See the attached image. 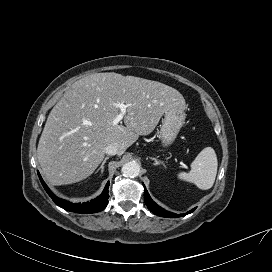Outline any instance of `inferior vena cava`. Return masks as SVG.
<instances>
[{
    "label": "inferior vena cava",
    "instance_id": "1",
    "mask_svg": "<svg viewBox=\"0 0 272 272\" xmlns=\"http://www.w3.org/2000/svg\"><path fill=\"white\" fill-rule=\"evenodd\" d=\"M105 153L110 156L116 155L118 154V148L116 145L110 144L105 148Z\"/></svg>",
    "mask_w": 272,
    "mask_h": 272
}]
</instances>
